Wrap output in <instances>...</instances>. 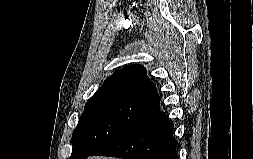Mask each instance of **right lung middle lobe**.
<instances>
[{
    "mask_svg": "<svg viewBox=\"0 0 253 159\" xmlns=\"http://www.w3.org/2000/svg\"><path fill=\"white\" fill-rule=\"evenodd\" d=\"M157 108L156 104L129 97L90 98L73 132L69 159H85Z\"/></svg>",
    "mask_w": 253,
    "mask_h": 159,
    "instance_id": "obj_1",
    "label": "right lung middle lobe"
}]
</instances>
